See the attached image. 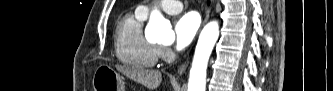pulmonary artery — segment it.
Instances as JSON below:
<instances>
[{"instance_id": "obj_1", "label": "pulmonary artery", "mask_w": 333, "mask_h": 91, "mask_svg": "<svg viewBox=\"0 0 333 91\" xmlns=\"http://www.w3.org/2000/svg\"><path fill=\"white\" fill-rule=\"evenodd\" d=\"M157 6L168 14H177L183 9L182 3L175 0L161 1L157 4ZM151 8L152 6L149 5H140L137 8V11L146 16L150 12Z\"/></svg>"}]
</instances>
